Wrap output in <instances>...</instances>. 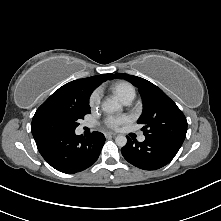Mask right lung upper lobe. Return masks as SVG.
Wrapping results in <instances>:
<instances>
[{
	"label": "right lung upper lobe",
	"instance_id": "obj_1",
	"mask_svg": "<svg viewBox=\"0 0 221 221\" xmlns=\"http://www.w3.org/2000/svg\"><path fill=\"white\" fill-rule=\"evenodd\" d=\"M109 78H112L111 73L71 81L56 90L41 106L48 104L86 105L92 91Z\"/></svg>",
	"mask_w": 221,
	"mask_h": 221
}]
</instances>
